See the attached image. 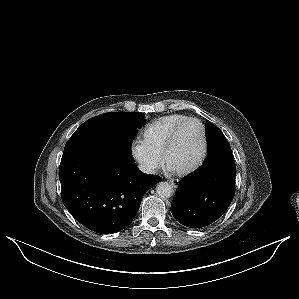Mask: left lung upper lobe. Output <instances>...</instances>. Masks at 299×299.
Returning <instances> with one entry per match:
<instances>
[{"instance_id":"obj_1","label":"left lung upper lobe","mask_w":299,"mask_h":299,"mask_svg":"<svg viewBox=\"0 0 299 299\" xmlns=\"http://www.w3.org/2000/svg\"><path fill=\"white\" fill-rule=\"evenodd\" d=\"M206 136L208 149L231 150L230 145L222 131L210 122L206 123Z\"/></svg>"}]
</instances>
